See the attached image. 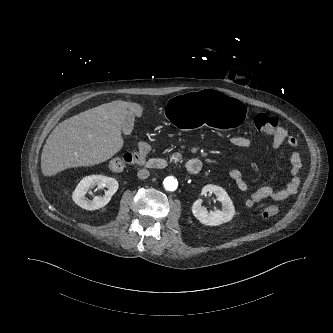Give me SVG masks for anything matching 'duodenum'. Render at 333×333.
Wrapping results in <instances>:
<instances>
[{
    "label": "duodenum",
    "mask_w": 333,
    "mask_h": 333,
    "mask_svg": "<svg viewBox=\"0 0 333 333\" xmlns=\"http://www.w3.org/2000/svg\"><path fill=\"white\" fill-rule=\"evenodd\" d=\"M168 162L163 158H152L145 162V167L151 170H163L167 168ZM203 164L198 158H191L187 160L185 168L191 175H197L201 172Z\"/></svg>",
    "instance_id": "duodenum-1"
}]
</instances>
